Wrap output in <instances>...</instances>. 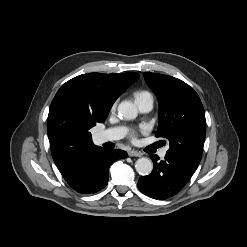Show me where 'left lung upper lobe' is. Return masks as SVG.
I'll list each match as a JSON object with an SVG mask.
<instances>
[{"label": "left lung upper lobe", "instance_id": "obj_1", "mask_svg": "<svg viewBox=\"0 0 247 247\" xmlns=\"http://www.w3.org/2000/svg\"><path fill=\"white\" fill-rule=\"evenodd\" d=\"M144 78L159 101L156 136L169 140L166 154L198 166L206 134L205 112L198 94L172 76L145 73Z\"/></svg>", "mask_w": 247, "mask_h": 247}]
</instances>
